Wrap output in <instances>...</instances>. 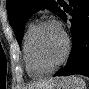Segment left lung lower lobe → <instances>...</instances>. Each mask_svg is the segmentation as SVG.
<instances>
[{
  "instance_id": "obj_1",
  "label": "left lung lower lobe",
  "mask_w": 89,
  "mask_h": 89,
  "mask_svg": "<svg viewBox=\"0 0 89 89\" xmlns=\"http://www.w3.org/2000/svg\"><path fill=\"white\" fill-rule=\"evenodd\" d=\"M72 7L70 15L72 50L67 64L54 76L81 74L89 77V0H69ZM67 20L65 12L60 16Z\"/></svg>"
}]
</instances>
